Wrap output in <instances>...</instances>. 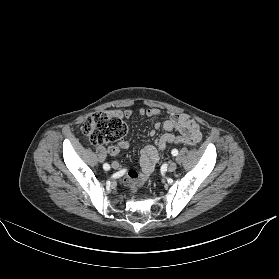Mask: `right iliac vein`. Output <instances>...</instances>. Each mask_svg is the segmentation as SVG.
<instances>
[{
	"instance_id": "1",
	"label": "right iliac vein",
	"mask_w": 279,
	"mask_h": 279,
	"mask_svg": "<svg viewBox=\"0 0 279 279\" xmlns=\"http://www.w3.org/2000/svg\"><path fill=\"white\" fill-rule=\"evenodd\" d=\"M119 166H120V164L116 161L112 163V168H114V169H118Z\"/></svg>"
}]
</instances>
